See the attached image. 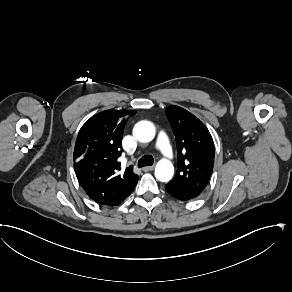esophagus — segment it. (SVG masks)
<instances>
[{
	"label": "esophagus",
	"instance_id": "34e87169",
	"mask_svg": "<svg viewBox=\"0 0 292 292\" xmlns=\"http://www.w3.org/2000/svg\"><path fill=\"white\" fill-rule=\"evenodd\" d=\"M154 169V166H145L142 168L143 171L147 172V171H151Z\"/></svg>",
	"mask_w": 292,
	"mask_h": 292
}]
</instances>
